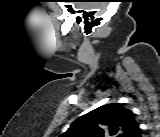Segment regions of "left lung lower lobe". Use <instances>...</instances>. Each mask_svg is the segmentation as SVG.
Instances as JSON below:
<instances>
[{
    "label": "left lung lower lobe",
    "mask_w": 160,
    "mask_h": 137,
    "mask_svg": "<svg viewBox=\"0 0 160 137\" xmlns=\"http://www.w3.org/2000/svg\"><path fill=\"white\" fill-rule=\"evenodd\" d=\"M134 137H140V129L135 133Z\"/></svg>",
    "instance_id": "1"
}]
</instances>
